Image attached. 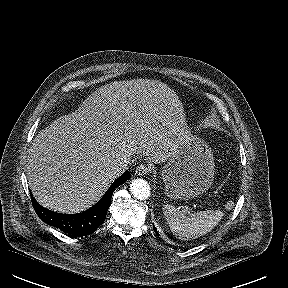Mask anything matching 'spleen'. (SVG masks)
Returning a JSON list of instances; mask_svg holds the SVG:
<instances>
[{
    "mask_svg": "<svg viewBox=\"0 0 288 288\" xmlns=\"http://www.w3.org/2000/svg\"><path fill=\"white\" fill-rule=\"evenodd\" d=\"M164 216L173 234L181 240L195 239L209 233L222 219L220 210H207L187 215L173 205H165Z\"/></svg>",
    "mask_w": 288,
    "mask_h": 288,
    "instance_id": "3e777b00",
    "label": "spleen"
}]
</instances>
